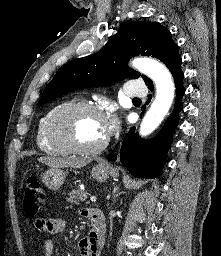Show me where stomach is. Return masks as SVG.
I'll return each instance as SVG.
<instances>
[{
  "label": "stomach",
  "instance_id": "stomach-1",
  "mask_svg": "<svg viewBox=\"0 0 221 256\" xmlns=\"http://www.w3.org/2000/svg\"><path fill=\"white\" fill-rule=\"evenodd\" d=\"M116 169L105 166V165H97L92 169V177L97 181L103 182L108 177L109 174H114ZM67 172L63 171L60 168H52L46 171L43 174L42 182L46 187L50 190L57 191L63 184L64 179L66 178Z\"/></svg>",
  "mask_w": 221,
  "mask_h": 256
}]
</instances>
